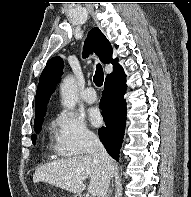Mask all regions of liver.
<instances>
[{
    "label": "liver",
    "mask_w": 191,
    "mask_h": 197,
    "mask_svg": "<svg viewBox=\"0 0 191 197\" xmlns=\"http://www.w3.org/2000/svg\"><path fill=\"white\" fill-rule=\"evenodd\" d=\"M113 172L114 165L112 174ZM88 177V192L92 196H97L103 182V168L91 155H80L44 164L35 170L33 181L47 182L80 195L86 188L84 180Z\"/></svg>",
    "instance_id": "obj_1"
}]
</instances>
